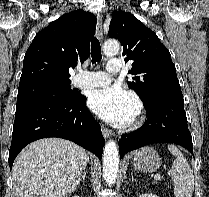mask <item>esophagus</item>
Listing matches in <instances>:
<instances>
[{"label":"esophagus","instance_id":"obj_1","mask_svg":"<svg viewBox=\"0 0 209 197\" xmlns=\"http://www.w3.org/2000/svg\"><path fill=\"white\" fill-rule=\"evenodd\" d=\"M97 36L100 40L103 39V26H102V16L100 14H97ZM102 134L105 138H109L113 136L112 130L102 127L101 128Z\"/></svg>","mask_w":209,"mask_h":197}]
</instances>
